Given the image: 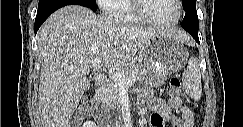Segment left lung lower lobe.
Segmentation results:
<instances>
[{"label":"left lung lower lobe","mask_w":243,"mask_h":127,"mask_svg":"<svg viewBox=\"0 0 243 127\" xmlns=\"http://www.w3.org/2000/svg\"><path fill=\"white\" fill-rule=\"evenodd\" d=\"M181 26L191 34V36L195 39L197 43L199 42V37H198V27H199V22H198V16L197 14H187L185 15Z\"/></svg>","instance_id":"0a47b994"}]
</instances>
